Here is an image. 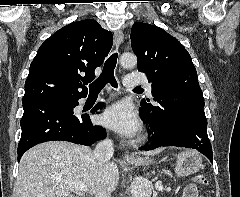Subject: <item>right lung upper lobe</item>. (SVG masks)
Returning a JSON list of instances; mask_svg holds the SVG:
<instances>
[{
    "label": "right lung upper lobe",
    "instance_id": "obj_1",
    "mask_svg": "<svg viewBox=\"0 0 240 197\" xmlns=\"http://www.w3.org/2000/svg\"><path fill=\"white\" fill-rule=\"evenodd\" d=\"M112 38L111 32L92 19L55 32L43 42L30 65L22 103L85 96V85L95 78L94 71L109 53Z\"/></svg>",
    "mask_w": 240,
    "mask_h": 197
}]
</instances>
